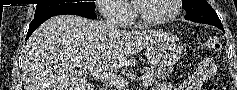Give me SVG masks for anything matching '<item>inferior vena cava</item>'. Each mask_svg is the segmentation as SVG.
I'll return each mask as SVG.
<instances>
[{
    "instance_id": "obj_1",
    "label": "inferior vena cava",
    "mask_w": 237,
    "mask_h": 90,
    "mask_svg": "<svg viewBox=\"0 0 237 90\" xmlns=\"http://www.w3.org/2000/svg\"><path fill=\"white\" fill-rule=\"evenodd\" d=\"M103 12H108V14H113L112 8H103ZM103 24H105L106 30L108 32H118V26L116 20H113V18H105L103 20Z\"/></svg>"
}]
</instances>
